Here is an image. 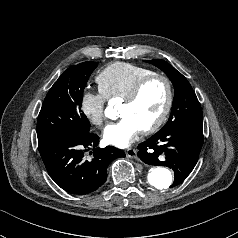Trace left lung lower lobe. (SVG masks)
Segmentation results:
<instances>
[{
  "label": "left lung lower lobe",
  "mask_w": 238,
  "mask_h": 238,
  "mask_svg": "<svg viewBox=\"0 0 238 238\" xmlns=\"http://www.w3.org/2000/svg\"><path fill=\"white\" fill-rule=\"evenodd\" d=\"M203 124L193 123L158 131L139 144V158L149 165H163L174 171L170 188L182 183L194 169L203 145Z\"/></svg>",
  "instance_id": "0a47b994"
}]
</instances>
